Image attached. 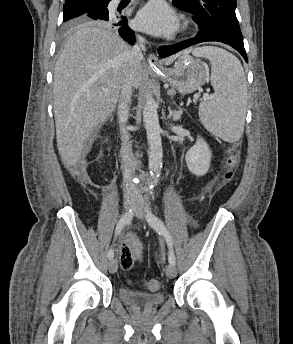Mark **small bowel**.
Returning a JSON list of instances; mask_svg holds the SVG:
<instances>
[{
  "label": "small bowel",
  "mask_w": 293,
  "mask_h": 344,
  "mask_svg": "<svg viewBox=\"0 0 293 344\" xmlns=\"http://www.w3.org/2000/svg\"><path fill=\"white\" fill-rule=\"evenodd\" d=\"M144 244L133 233H128L119 245V260L125 270L132 268L143 256Z\"/></svg>",
  "instance_id": "c3829d8e"
}]
</instances>
